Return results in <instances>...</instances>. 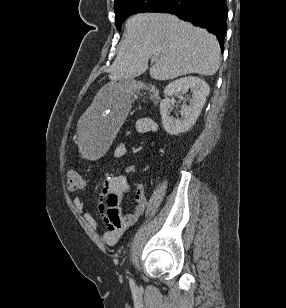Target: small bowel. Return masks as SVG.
Wrapping results in <instances>:
<instances>
[{
	"label": "small bowel",
	"instance_id": "1",
	"mask_svg": "<svg viewBox=\"0 0 286 308\" xmlns=\"http://www.w3.org/2000/svg\"><path fill=\"white\" fill-rule=\"evenodd\" d=\"M157 130V123L152 118L143 117L136 121L133 129L126 130L124 135L130 137L133 133H155ZM155 143V139H152L150 147H154ZM124 153V144H120L114 152L116 157H122ZM136 171L137 167L134 165L126 169V173H135ZM128 192L129 184L123 174L112 176L102 183L100 189V200L102 202L99 204L98 210L108 225V229L102 233L103 241L107 245H115L124 232L134 225L145 211L147 205L146 189L143 183H138L135 190V207L132 212L126 215L122 214L121 205ZM74 205L83 214L87 224L94 229H98V221L86 210L80 197L74 199Z\"/></svg>",
	"mask_w": 286,
	"mask_h": 308
}]
</instances>
